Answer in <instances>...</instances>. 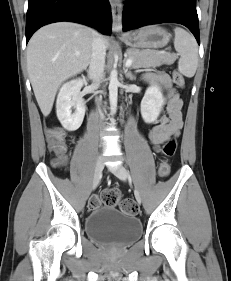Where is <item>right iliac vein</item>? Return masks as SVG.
Listing matches in <instances>:
<instances>
[{"label":"right iliac vein","instance_id":"right-iliac-vein-1","mask_svg":"<svg viewBox=\"0 0 231 281\" xmlns=\"http://www.w3.org/2000/svg\"><path fill=\"white\" fill-rule=\"evenodd\" d=\"M102 171H103V159L101 156H99L97 159L96 165H95L92 189H95L97 187V185L99 184V181H100L101 175H102Z\"/></svg>","mask_w":231,"mask_h":281}]
</instances>
